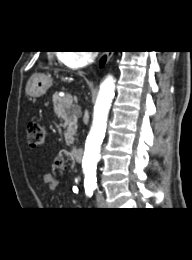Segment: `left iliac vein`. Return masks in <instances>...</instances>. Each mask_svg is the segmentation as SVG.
<instances>
[{"instance_id":"obj_1","label":"left iliac vein","mask_w":192,"mask_h":260,"mask_svg":"<svg viewBox=\"0 0 192 260\" xmlns=\"http://www.w3.org/2000/svg\"><path fill=\"white\" fill-rule=\"evenodd\" d=\"M97 205L99 208H106L107 202L101 193L97 194Z\"/></svg>"}]
</instances>
